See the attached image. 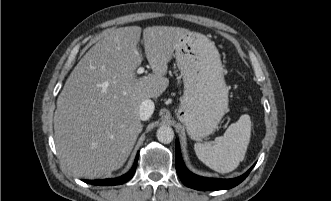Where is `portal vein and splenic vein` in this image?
Returning <instances> with one entry per match:
<instances>
[{"mask_svg": "<svg viewBox=\"0 0 331 201\" xmlns=\"http://www.w3.org/2000/svg\"><path fill=\"white\" fill-rule=\"evenodd\" d=\"M143 72H144V68L143 67L138 68L137 74H142Z\"/></svg>", "mask_w": 331, "mask_h": 201, "instance_id": "18ae733b", "label": "portal vein and splenic vein"}]
</instances>
